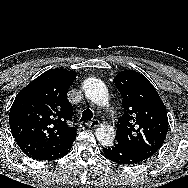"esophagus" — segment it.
<instances>
[{"mask_svg":"<svg viewBox=\"0 0 188 188\" xmlns=\"http://www.w3.org/2000/svg\"><path fill=\"white\" fill-rule=\"evenodd\" d=\"M99 124L100 122L98 120H92V121L86 122V126L89 128H96L99 126Z\"/></svg>","mask_w":188,"mask_h":188,"instance_id":"1","label":"esophagus"}]
</instances>
